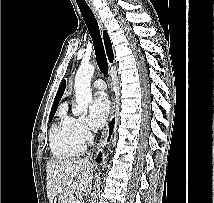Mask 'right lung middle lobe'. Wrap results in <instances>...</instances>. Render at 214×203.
<instances>
[{
	"instance_id": "right-lung-middle-lobe-1",
	"label": "right lung middle lobe",
	"mask_w": 214,
	"mask_h": 203,
	"mask_svg": "<svg viewBox=\"0 0 214 203\" xmlns=\"http://www.w3.org/2000/svg\"><path fill=\"white\" fill-rule=\"evenodd\" d=\"M53 116H54V115H50V116H49V122L52 120Z\"/></svg>"
}]
</instances>
